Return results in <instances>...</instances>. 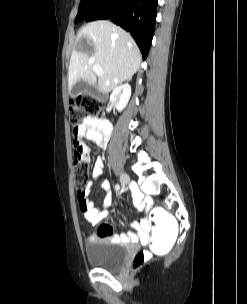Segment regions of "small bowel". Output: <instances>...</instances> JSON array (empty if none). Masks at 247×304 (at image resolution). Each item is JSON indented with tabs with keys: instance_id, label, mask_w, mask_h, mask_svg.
I'll return each mask as SVG.
<instances>
[{
	"instance_id": "obj_1",
	"label": "small bowel",
	"mask_w": 247,
	"mask_h": 304,
	"mask_svg": "<svg viewBox=\"0 0 247 304\" xmlns=\"http://www.w3.org/2000/svg\"><path fill=\"white\" fill-rule=\"evenodd\" d=\"M112 131V125L107 120H101L94 117H87L79 125L77 130L73 132L72 136V156H74L75 162H90V150L84 144L83 139L91 140L98 146L104 148L107 145L108 138ZM104 163L102 158L96 159L92 171V178L96 180L99 178L103 171ZM92 183H89L85 189L84 196L79 199L80 209L84 218L93 226H98L97 233L88 236L87 241L93 243L100 238L110 237L113 241H125V242H141L147 243L150 233V222L148 219H142L133 224V226L139 231V234L132 232L124 233L121 235L113 234V227L108 223L109 214L107 208L112 202V195L109 191V183L107 181L102 182L101 188L106 192L102 201L101 207H96L94 203L89 200V193ZM139 208L143 210L146 205L149 204L148 200L138 195Z\"/></svg>"
}]
</instances>
